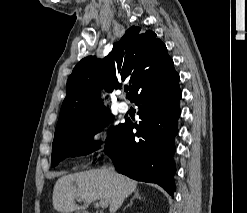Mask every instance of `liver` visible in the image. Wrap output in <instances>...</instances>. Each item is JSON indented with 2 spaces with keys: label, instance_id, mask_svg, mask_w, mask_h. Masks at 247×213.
<instances>
[{
  "label": "liver",
  "instance_id": "obj_1",
  "mask_svg": "<svg viewBox=\"0 0 247 213\" xmlns=\"http://www.w3.org/2000/svg\"><path fill=\"white\" fill-rule=\"evenodd\" d=\"M137 188V182L109 169H94L64 175L55 183L53 207L61 213H72L87 208L93 201L104 200L109 212L115 213L125 198ZM83 201L84 205H77Z\"/></svg>",
  "mask_w": 247,
  "mask_h": 213
}]
</instances>
